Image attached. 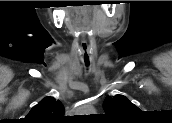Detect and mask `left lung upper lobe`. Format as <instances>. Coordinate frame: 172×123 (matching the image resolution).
<instances>
[{"label": "left lung upper lobe", "instance_id": "5c2ea615", "mask_svg": "<svg viewBox=\"0 0 172 123\" xmlns=\"http://www.w3.org/2000/svg\"><path fill=\"white\" fill-rule=\"evenodd\" d=\"M103 107L108 117L116 119H126L138 114L140 111L123 95H116L113 98L110 96L106 97Z\"/></svg>", "mask_w": 172, "mask_h": 123}]
</instances>
